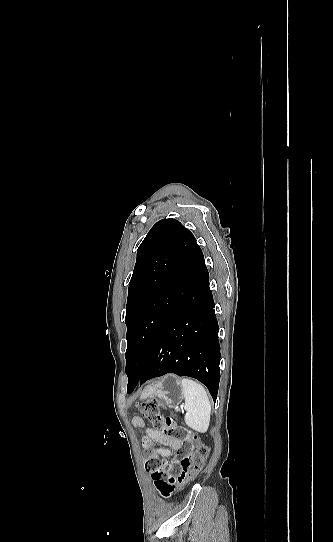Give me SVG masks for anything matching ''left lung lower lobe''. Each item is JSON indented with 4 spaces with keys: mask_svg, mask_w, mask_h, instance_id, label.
<instances>
[{
    "mask_svg": "<svg viewBox=\"0 0 333 542\" xmlns=\"http://www.w3.org/2000/svg\"><path fill=\"white\" fill-rule=\"evenodd\" d=\"M207 268L159 331L140 374L128 380L127 393L138 384L175 373L202 382L217 398L220 381L218 321Z\"/></svg>",
    "mask_w": 333,
    "mask_h": 542,
    "instance_id": "left-lung-lower-lobe-1",
    "label": "left lung lower lobe"
}]
</instances>
